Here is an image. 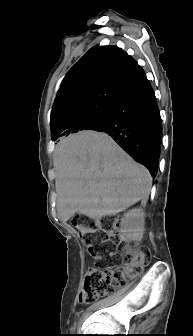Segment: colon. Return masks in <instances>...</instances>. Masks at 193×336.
<instances>
[{
  "label": "colon",
  "instance_id": "colon-1",
  "mask_svg": "<svg viewBox=\"0 0 193 336\" xmlns=\"http://www.w3.org/2000/svg\"><path fill=\"white\" fill-rule=\"evenodd\" d=\"M73 226L79 231L89 247V253L101 259L116 256L121 250L118 239L120 220L114 218L76 217ZM151 253L148 247L141 246L132 254H125L123 264L112 267L89 268L80 294V302L90 304L99 297L111 293L115 287H122L128 279L137 277L149 263Z\"/></svg>",
  "mask_w": 193,
  "mask_h": 336
}]
</instances>
